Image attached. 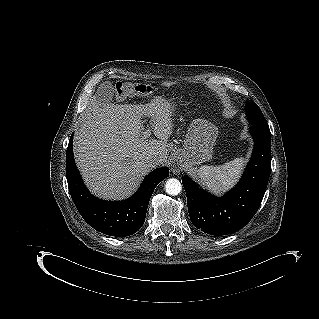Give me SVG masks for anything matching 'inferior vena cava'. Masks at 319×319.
<instances>
[{
	"label": "inferior vena cava",
	"mask_w": 319,
	"mask_h": 319,
	"mask_svg": "<svg viewBox=\"0 0 319 319\" xmlns=\"http://www.w3.org/2000/svg\"><path fill=\"white\" fill-rule=\"evenodd\" d=\"M162 162V158L161 156L159 155H154V156H151L149 159H148V163L152 166H155V165H160Z\"/></svg>",
	"instance_id": "inferior-vena-cava-1"
}]
</instances>
